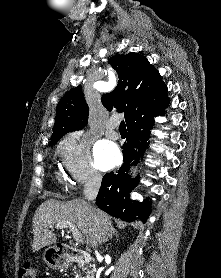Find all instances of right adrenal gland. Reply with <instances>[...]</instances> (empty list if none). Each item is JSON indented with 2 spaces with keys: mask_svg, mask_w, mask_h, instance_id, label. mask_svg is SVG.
<instances>
[{
  "mask_svg": "<svg viewBox=\"0 0 221 278\" xmlns=\"http://www.w3.org/2000/svg\"><path fill=\"white\" fill-rule=\"evenodd\" d=\"M117 231L113 230L111 234L103 241V243H106L109 239L113 238L114 236H117Z\"/></svg>",
  "mask_w": 221,
  "mask_h": 278,
  "instance_id": "2a0ac1e0",
  "label": "right adrenal gland"
}]
</instances>
